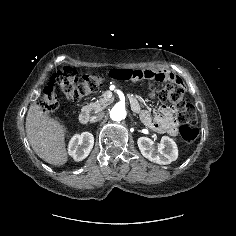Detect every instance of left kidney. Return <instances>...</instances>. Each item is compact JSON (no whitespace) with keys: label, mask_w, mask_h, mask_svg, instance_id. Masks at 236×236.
I'll list each match as a JSON object with an SVG mask.
<instances>
[{"label":"left kidney","mask_w":236,"mask_h":236,"mask_svg":"<svg viewBox=\"0 0 236 236\" xmlns=\"http://www.w3.org/2000/svg\"><path fill=\"white\" fill-rule=\"evenodd\" d=\"M139 150L149 161L166 165L178 158V148L173 139L168 136L161 138L158 150L153 147V141L148 137H140L137 140Z\"/></svg>","instance_id":"5707ae66"}]
</instances>
